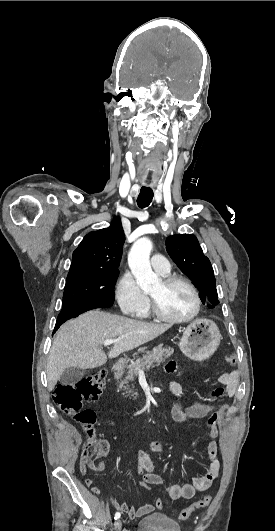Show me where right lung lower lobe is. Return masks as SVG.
I'll use <instances>...</instances> for the list:
<instances>
[{
	"mask_svg": "<svg viewBox=\"0 0 275 531\" xmlns=\"http://www.w3.org/2000/svg\"><path fill=\"white\" fill-rule=\"evenodd\" d=\"M96 308H101V307L92 306V305H83V304L63 305L62 310H61L60 314L58 315V318H57V321H56V325H55V328H54L53 332H56L57 329L60 327V325H62L68 319L77 317V316H79L80 314H82V313H84L86 311H89V310H92V309H96Z\"/></svg>",
	"mask_w": 275,
	"mask_h": 531,
	"instance_id": "obj_1",
	"label": "right lung lower lobe"
}]
</instances>
